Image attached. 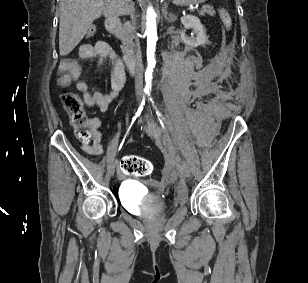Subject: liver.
<instances>
[{"instance_id":"obj_1","label":"liver","mask_w":308,"mask_h":283,"mask_svg":"<svg viewBox=\"0 0 308 283\" xmlns=\"http://www.w3.org/2000/svg\"><path fill=\"white\" fill-rule=\"evenodd\" d=\"M131 0H61L59 51L68 55L86 35L93 21L102 15L126 13Z\"/></svg>"}]
</instances>
